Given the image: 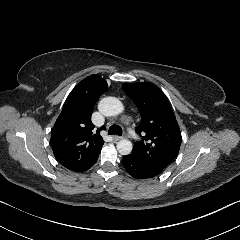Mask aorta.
I'll use <instances>...</instances> for the list:
<instances>
[{
  "mask_svg": "<svg viewBox=\"0 0 240 240\" xmlns=\"http://www.w3.org/2000/svg\"><path fill=\"white\" fill-rule=\"evenodd\" d=\"M98 110L106 117L116 116L123 112L124 107L122 102L116 97H105L98 103ZM132 143L128 139L120 140L117 143V150L121 155H128L132 151Z\"/></svg>",
  "mask_w": 240,
  "mask_h": 240,
  "instance_id": "1",
  "label": "aorta"
}]
</instances>
